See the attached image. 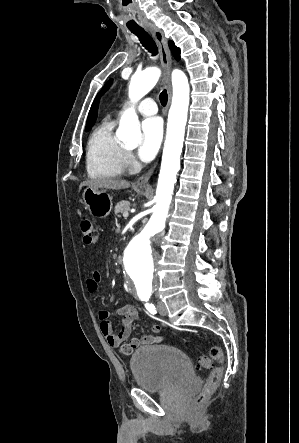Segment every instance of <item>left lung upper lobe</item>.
<instances>
[{"label":"left lung upper lobe","mask_w":299,"mask_h":443,"mask_svg":"<svg viewBox=\"0 0 299 443\" xmlns=\"http://www.w3.org/2000/svg\"><path fill=\"white\" fill-rule=\"evenodd\" d=\"M169 46H170L175 58L177 60H179L180 59V50L174 45V43L172 41L169 42ZM111 82H112L111 80L108 81V83L103 88V92L110 86Z\"/></svg>","instance_id":"left-lung-upper-lobe-1"}]
</instances>
